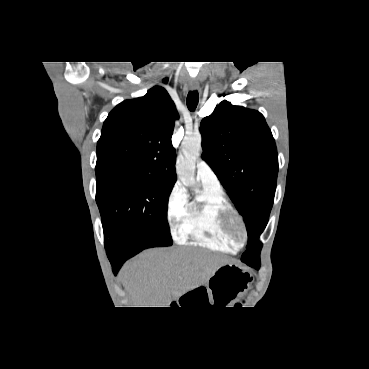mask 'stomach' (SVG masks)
<instances>
[{
	"label": "stomach",
	"mask_w": 369,
	"mask_h": 369,
	"mask_svg": "<svg viewBox=\"0 0 369 369\" xmlns=\"http://www.w3.org/2000/svg\"><path fill=\"white\" fill-rule=\"evenodd\" d=\"M251 280V275L242 267L226 263L214 272L204 288L212 302L225 305L243 294Z\"/></svg>",
	"instance_id": "1"
}]
</instances>
